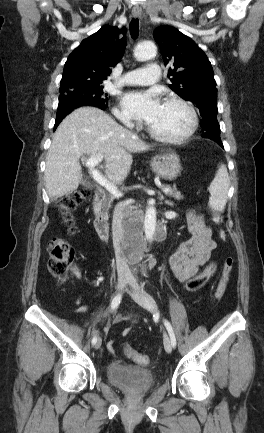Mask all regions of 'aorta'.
<instances>
[{
	"label": "aorta",
	"mask_w": 264,
	"mask_h": 433,
	"mask_svg": "<svg viewBox=\"0 0 264 433\" xmlns=\"http://www.w3.org/2000/svg\"><path fill=\"white\" fill-rule=\"evenodd\" d=\"M156 54H157V48L156 45L152 42H145L139 44L134 50V57L138 61L149 60L155 57ZM156 228H157L156 208L154 207V202H153L146 210L144 223H143V230L145 232V237L148 241H152Z\"/></svg>",
	"instance_id": "aorta-1"
}]
</instances>
